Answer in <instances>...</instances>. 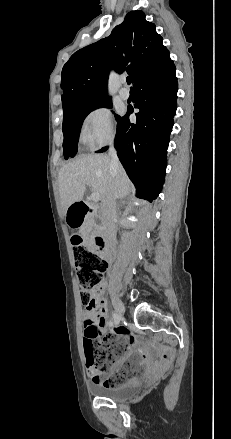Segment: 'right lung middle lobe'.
<instances>
[{"label":"right lung middle lobe","mask_w":231,"mask_h":439,"mask_svg":"<svg viewBox=\"0 0 231 439\" xmlns=\"http://www.w3.org/2000/svg\"><path fill=\"white\" fill-rule=\"evenodd\" d=\"M100 107H112L109 98L88 101L73 106L64 111L63 116V152L65 159L74 157L77 152V143L79 139L80 129L85 117L93 110ZM118 120L120 116L115 115Z\"/></svg>","instance_id":"obj_1"}]
</instances>
